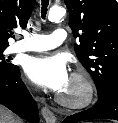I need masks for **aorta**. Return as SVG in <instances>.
Listing matches in <instances>:
<instances>
[{
    "instance_id": "762f6f07",
    "label": "aorta",
    "mask_w": 118,
    "mask_h": 123,
    "mask_svg": "<svg viewBox=\"0 0 118 123\" xmlns=\"http://www.w3.org/2000/svg\"><path fill=\"white\" fill-rule=\"evenodd\" d=\"M66 14V11L64 8L60 6H52L49 10L48 19L50 21H56L62 19Z\"/></svg>"
}]
</instances>
